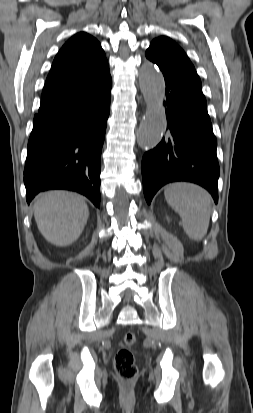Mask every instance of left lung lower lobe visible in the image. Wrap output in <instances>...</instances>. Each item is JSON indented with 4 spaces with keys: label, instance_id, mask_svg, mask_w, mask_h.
I'll use <instances>...</instances> for the list:
<instances>
[{
    "label": "left lung lower lobe",
    "instance_id": "obj_1",
    "mask_svg": "<svg viewBox=\"0 0 253 413\" xmlns=\"http://www.w3.org/2000/svg\"><path fill=\"white\" fill-rule=\"evenodd\" d=\"M166 84L168 133L142 158L144 195L150 204L165 184L189 181L206 188L218 201L217 140L207 112L201 81L162 71Z\"/></svg>",
    "mask_w": 253,
    "mask_h": 413
}]
</instances>
